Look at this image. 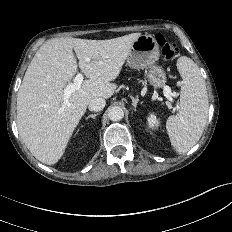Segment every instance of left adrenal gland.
<instances>
[{"mask_svg":"<svg viewBox=\"0 0 232 232\" xmlns=\"http://www.w3.org/2000/svg\"><path fill=\"white\" fill-rule=\"evenodd\" d=\"M132 99V106L134 108V110H136L137 104L139 102L138 98H134L133 96H131Z\"/></svg>","mask_w":232,"mask_h":232,"instance_id":"1","label":"left adrenal gland"}]
</instances>
